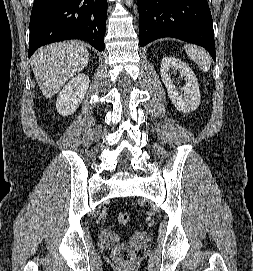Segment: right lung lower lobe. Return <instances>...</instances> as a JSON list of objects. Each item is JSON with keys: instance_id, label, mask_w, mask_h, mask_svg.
Returning a JSON list of instances; mask_svg holds the SVG:
<instances>
[{"instance_id": "right-lung-lower-lobe-1", "label": "right lung lower lobe", "mask_w": 253, "mask_h": 271, "mask_svg": "<svg viewBox=\"0 0 253 271\" xmlns=\"http://www.w3.org/2000/svg\"><path fill=\"white\" fill-rule=\"evenodd\" d=\"M106 0H34L30 17L29 57L41 46L69 40L105 49Z\"/></svg>"}]
</instances>
